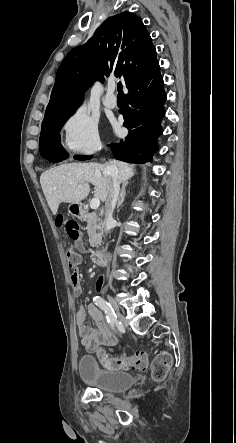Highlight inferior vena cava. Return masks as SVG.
<instances>
[{
    "instance_id": "obj_1",
    "label": "inferior vena cava",
    "mask_w": 236,
    "mask_h": 443,
    "mask_svg": "<svg viewBox=\"0 0 236 443\" xmlns=\"http://www.w3.org/2000/svg\"><path fill=\"white\" fill-rule=\"evenodd\" d=\"M104 174H106L110 180V190L109 195L107 197V200L105 202V219H104V226H105V233L107 234L113 223V211L115 209L119 191H120V182L118 179L117 170L114 166H107L104 169Z\"/></svg>"
}]
</instances>
